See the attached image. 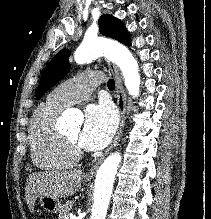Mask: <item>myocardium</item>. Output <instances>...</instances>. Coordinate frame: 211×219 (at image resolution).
<instances>
[{"label": "myocardium", "mask_w": 211, "mask_h": 219, "mask_svg": "<svg viewBox=\"0 0 211 219\" xmlns=\"http://www.w3.org/2000/svg\"><path fill=\"white\" fill-rule=\"evenodd\" d=\"M62 138L68 153L74 159H80L83 155L81 146L66 134H62Z\"/></svg>", "instance_id": "f54148a6"}]
</instances>
